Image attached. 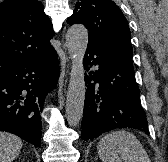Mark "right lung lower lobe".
Instances as JSON below:
<instances>
[{
	"mask_svg": "<svg viewBox=\"0 0 168 162\" xmlns=\"http://www.w3.org/2000/svg\"><path fill=\"white\" fill-rule=\"evenodd\" d=\"M56 51L15 66L0 75V131L18 135L40 147L41 112L47 93L56 86Z\"/></svg>",
	"mask_w": 168,
	"mask_h": 162,
	"instance_id": "98d812e1",
	"label": "right lung lower lobe"
}]
</instances>
